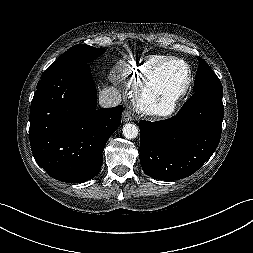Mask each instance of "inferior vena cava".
I'll return each instance as SVG.
<instances>
[{
  "label": "inferior vena cava",
  "instance_id": "obj_1",
  "mask_svg": "<svg viewBox=\"0 0 253 253\" xmlns=\"http://www.w3.org/2000/svg\"><path fill=\"white\" fill-rule=\"evenodd\" d=\"M121 103V94L115 88H108L100 92L99 104L102 107H115Z\"/></svg>",
  "mask_w": 253,
  "mask_h": 253
}]
</instances>
